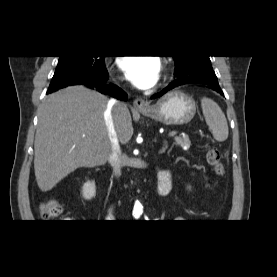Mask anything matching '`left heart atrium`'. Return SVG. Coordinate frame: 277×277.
<instances>
[{
  "label": "left heart atrium",
  "instance_id": "39dd6f15",
  "mask_svg": "<svg viewBox=\"0 0 277 277\" xmlns=\"http://www.w3.org/2000/svg\"><path fill=\"white\" fill-rule=\"evenodd\" d=\"M119 67L126 78L136 87L146 89L152 87L160 73V62L155 57H122Z\"/></svg>",
  "mask_w": 277,
  "mask_h": 277
}]
</instances>
